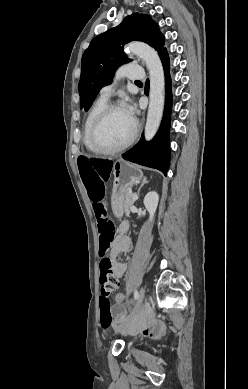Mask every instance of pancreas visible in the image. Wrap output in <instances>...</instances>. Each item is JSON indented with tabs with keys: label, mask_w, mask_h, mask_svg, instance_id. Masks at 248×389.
<instances>
[{
	"label": "pancreas",
	"mask_w": 248,
	"mask_h": 389,
	"mask_svg": "<svg viewBox=\"0 0 248 389\" xmlns=\"http://www.w3.org/2000/svg\"><path fill=\"white\" fill-rule=\"evenodd\" d=\"M134 203L133 200V194L130 193L128 190L125 192V199H124V210L125 213H129V207Z\"/></svg>",
	"instance_id": "1"
}]
</instances>
